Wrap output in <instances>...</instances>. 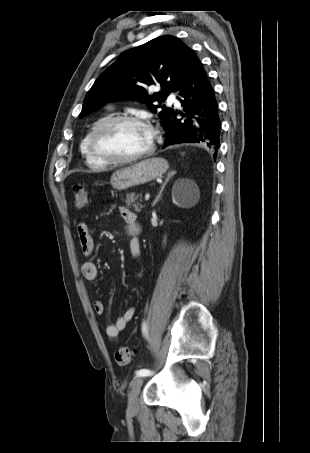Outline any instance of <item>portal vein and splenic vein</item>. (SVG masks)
I'll list each match as a JSON object with an SVG mask.
<instances>
[{
    "instance_id": "1",
    "label": "portal vein and splenic vein",
    "mask_w": 310,
    "mask_h": 453,
    "mask_svg": "<svg viewBox=\"0 0 310 453\" xmlns=\"http://www.w3.org/2000/svg\"><path fill=\"white\" fill-rule=\"evenodd\" d=\"M149 198H150V194L147 193V194L145 195V200L148 201Z\"/></svg>"
}]
</instances>
